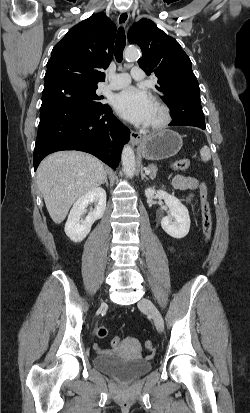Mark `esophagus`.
Segmentation results:
<instances>
[{
    "instance_id": "1",
    "label": "esophagus",
    "mask_w": 250,
    "mask_h": 413,
    "mask_svg": "<svg viewBox=\"0 0 250 413\" xmlns=\"http://www.w3.org/2000/svg\"><path fill=\"white\" fill-rule=\"evenodd\" d=\"M129 16H130V14H129L128 10H125V11L121 12L119 14L118 18H117L118 26L119 27H125L128 20H129ZM140 139H141V135L138 132L131 131V133H130V142H131L132 145L138 144Z\"/></svg>"
}]
</instances>
